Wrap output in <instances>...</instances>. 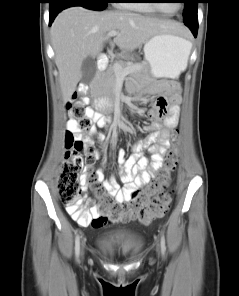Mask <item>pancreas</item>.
<instances>
[{"instance_id":"obj_1","label":"pancreas","mask_w":239,"mask_h":296,"mask_svg":"<svg viewBox=\"0 0 239 296\" xmlns=\"http://www.w3.org/2000/svg\"><path fill=\"white\" fill-rule=\"evenodd\" d=\"M135 58L132 54L126 53L123 56V60H118V64L122 68L128 66L140 67L139 70L132 72V76L136 78H147L148 77V66L145 62L134 63ZM117 83V75L115 73L114 65L108 67L103 73L96 79L95 85L92 87L91 94L93 96L100 97L101 99L111 102L114 98L115 87Z\"/></svg>"}]
</instances>
